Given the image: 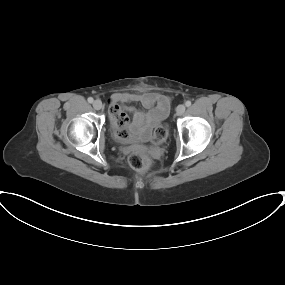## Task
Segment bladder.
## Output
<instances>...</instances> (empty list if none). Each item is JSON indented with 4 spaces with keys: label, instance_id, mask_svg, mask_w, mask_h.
Instances as JSON below:
<instances>
[{
    "label": "bladder",
    "instance_id": "31cf9c89",
    "mask_svg": "<svg viewBox=\"0 0 285 285\" xmlns=\"http://www.w3.org/2000/svg\"><path fill=\"white\" fill-rule=\"evenodd\" d=\"M165 117H166V116H165ZM165 117H164V118H165ZM164 118H163V119H164ZM141 139H142V137H140V136H136V137H133V138H132V140H141Z\"/></svg>",
    "mask_w": 285,
    "mask_h": 285
}]
</instances>
